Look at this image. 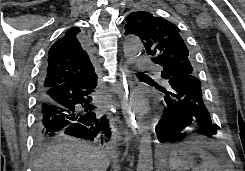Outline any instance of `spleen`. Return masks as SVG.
<instances>
[{
    "instance_id": "1",
    "label": "spleen",
    "mask_w": 245,
    "mask_h": 171,
    "mask_svg": "<svg viewBox=\"0 0 245 171\" xmlns=\"http://www.w3.org/2000/svg\"><path fill=\"white\" fill-rule=\"evenodd\" d=\"M200 156L203 159L202 164L193 171H223L219 162L211 154L200 151Z\"/></svg>"
}]
</instances>
